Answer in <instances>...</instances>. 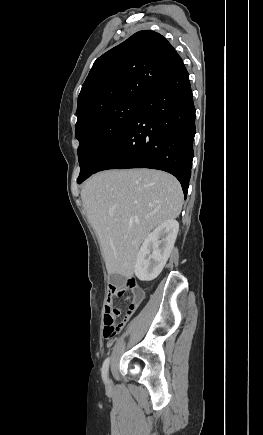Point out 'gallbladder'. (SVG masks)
<instances>
[{"instance_id": "bac80fb5", "label": "gallbladder", "mask_w": 263, "mask_h": 435, "mask_svg": "<svg viewBox=\"0 0 263 435\" xmlns=\"http://www.w3.org/2000/svg\"><path fill=\"white\" fill-rule=\"evenodd\" d=\"M109 281L111 284H113L115 286H121L125 282V277L122 275H119V274H111Z\"/></svg>"}]
</instances>
